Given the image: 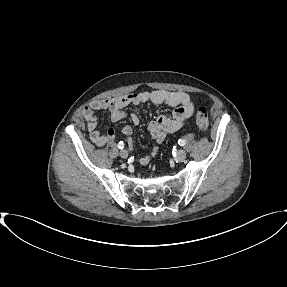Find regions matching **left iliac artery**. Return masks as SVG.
I'll use <instances>...</instances> for the list:
<instances>
[{"label": "left iliac artery", "mask_w": 287, "mask_h": 287, "mask_svg": "<svg viewBox=\"0 0 287 287\" xmlns=\"http://www.w3.org/2000/svg\"><path fill=\"white\" fill-rule=\"evenodd\" d=\"M186 143V141L184 139H179L178 140V144L181 145V146H184Z\"/></svg>", "instance_id": "obj_1"}]
</instances>
